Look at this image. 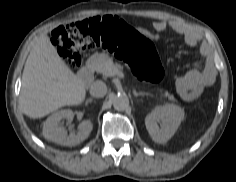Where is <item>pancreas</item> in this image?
<instances>
[{"label": "pancreas", "instance_id": "obj_1", "mask_svg": "<svg viewBox=\"0 0 236 182\" xmlns=\"http://www.w3.org/2000/svg\"><path fill=\"white\" fill-rule=\"evenodd\" d=\"M91 67L94 71L103 74L104 76H114L115 71H120V65L113 62V59L106 53L93 54L90 58ZM164 96L170 101L177 102L173 95L167 91Z\"/></svg>", "mask_w": 236, "mask_h": 182}]
</instances>
